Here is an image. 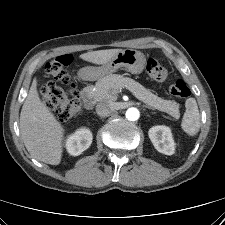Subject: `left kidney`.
I'll list each match as a JSON object with an SVG mask.
<instances>
[{
  "instance_id": "5707ae66",
  "label": "left kidney",
  "mask_w": 225,
  "mask_h": 225,
  "mask_svg": "<svg viewBox=\"0 0 225 225\" xmlns=\"http://www.w3.org/2000/svg\"><path fill=\"white\" fill-rule=\"evenodd\" d=\"M148 134L151 142L158 152L165 155L174 154L175 143L169 127L154 126L150 128Z\"/></svg>"
}]
</instances>
